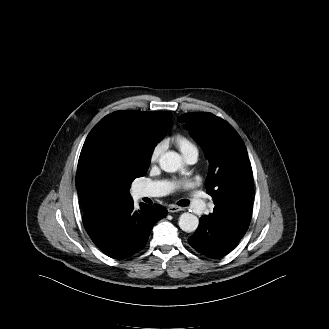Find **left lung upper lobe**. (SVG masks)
I'll return each instance as SVG.
<instances>
[{"mask_svg": "<svg viewBox=\"0 0 329 329\" xmlns=\"http://www.w3.org/2000/svg\"><path fill=\"white\" fill-rule=\"evenodd\" d=\"M178 121L184 123L209 161L205 187L215 207L226 206L251 191L253 173L247 150L231 125L204 112L183 114Z\"/></svg>", "mask_w": 329, "mask_h": 329, "instance_id": "obj_1", "label": "left lung upper lobe"}]
</instances>
